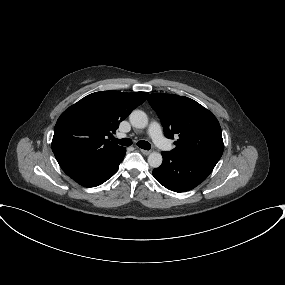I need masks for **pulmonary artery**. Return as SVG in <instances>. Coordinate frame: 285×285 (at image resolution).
Wrapping results in <instances>:
<instances>
[{"mask_svg":"<svg viewBox=\"0 0 285 285\" xmlns=\"http://www.w3.org/2000/svg\"><path fill=\"white\" fill-rule=\"evenodd\" d=\"M148 135L152 138L153 142L159 148L167 149L169 147L167 140L163 136L162 129L159 123L157 122L150 123L148 128Z\"/></svg>","mask_w":285,"mask_h":285,"instance_id":"obj_1","label":"pulmonary artery"}]
</instances>
